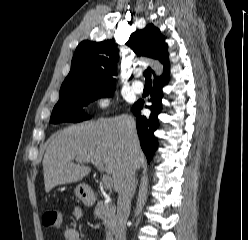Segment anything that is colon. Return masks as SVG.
Returning <instances> with one entry per match:
<instances>
[{
  "label": "colon",
  "mask_w": 248,
  "mask_h": 240,
  "mask_svg": "<svg viewBox=\"0 0 248 240\" xmlns=\"http://www.w3.org/2000/svg\"><path fill=\"white\" fill-rule=\"evenodd\" d=\"M42 221L46 227L59 228L62 225L63 217L60 211L49 209L44 213Z\"/></svg>",
  "instance_id": "1"
}]
</instances>
